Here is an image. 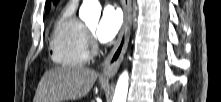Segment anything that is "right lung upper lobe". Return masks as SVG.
<instances>
[{"instance_id":"obj_1","label":"right lung upper lobe","mask_w":221,"mask_h":102,"mask_svg":"<svg viewBox=\"0 0 221 102\" xmlns=\"http://www.w3.org/2000/svg\"><path fill=\"white\" fill-rule=\"evenodd\" d=\"M50 3H51L50 0H46V12H48L50 9Z\"/></svg>"}]
</instances>
